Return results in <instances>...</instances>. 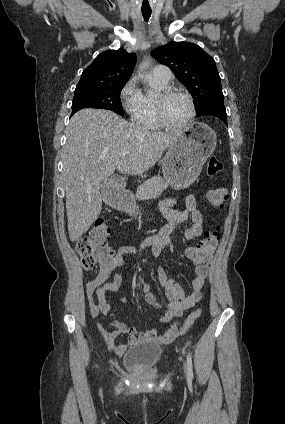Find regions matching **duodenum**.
Masks as SVG:
<instances>
[{
  "label": "duodenum",
  "instance_id": "obj_1",
  "mask_svg": "<svg viewBox=\"0 0 285 424\" xmlns=\"http://www.w3.org/2000/svg\"><path fill=\"white\" fill-rule=\"evenodd\" d=\"M112 190L114 192L120 191L124 188V180L122 177L115 176L111 180Z\"/></svg>",
  "mask_w": 285,
  "mask_h": 424
}]
</instances>
